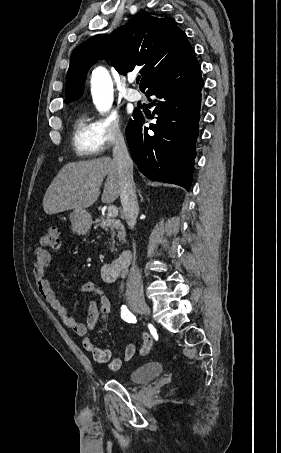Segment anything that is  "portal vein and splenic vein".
<instances>
[{"label":"portal vein and splenic vein","instance_id":"obj_1","mask_svg":"<svg viewBox=\"0 0 281 453\" xmlns=\"http://www.w3.org/2000/svg\"><path fill=\"white\" fill-rule=\"evenodd\" d=\"M117 214H118L117 206H114V204H111V206H108V216H109V218H114V216H117Z\"/></svg>","mask_w":281,"mask_h":453}]
</instances>
